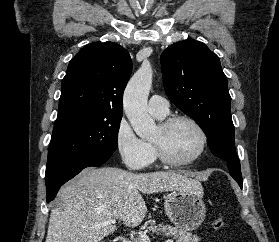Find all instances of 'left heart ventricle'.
Returning <instances> with one entry per match:
<instances>
[{"mask_svg":"<svg viewBox=\"0 0 279 242\" xmlns=\"http://www.w3.org/2000/svg\"><path fill=\"white\" fill-rule=\"evenodd\" d=\"M157 129L152 140L160 139ZM163 143L168 154L176 160H186L199 148L200 137L196 129L188 122H176L163 136Z\"/></svg>","mask_w":279,"mask_h":242,"instance_id":"1","label":"left heart ventricle"}]
</instances>
